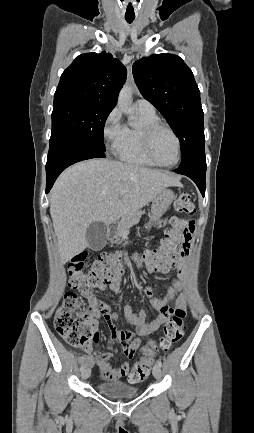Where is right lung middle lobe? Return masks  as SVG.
<instances>
[{"instance_id":"dd1d6c3e","label":"right lung middle lobe","mask_w":254,"mask_h":433,"mask_svg":"<svg viewBox=\"0 0 254 433\" xmlns=\"http://www.w3.org/2000/svg\"><path fill=\"white\" fill-rule=\"evenodd\" d=\"M113 108L89 102H66L54 105L50 144L64 136L105 152V121Z\"/></svg>"}]
</instances>
